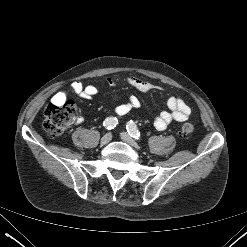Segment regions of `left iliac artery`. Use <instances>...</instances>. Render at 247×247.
Segmentation results:
<instances>
[{
  "label": "left iliac artery",
  "mask_w": 247,
  "mask_h": 247,
  "mask_svg": "<svg viewBox=\"0 0 247 247\" xmlns=\"http://www.w3.org/2000/svg\"><path fill=\"white\" fill-rule=\"evenodd\" d=\"M126 128L131 137L135 138L136 140L140 139V132L132 120L127 123Z\"/></svg>",
  "instance_id": "44dca946"
}]
</instances>
